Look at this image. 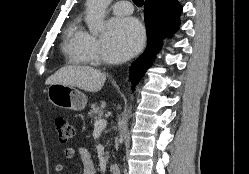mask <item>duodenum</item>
Here are the masks:
<instances>
[{
  "label": "duodenum",
  "instance_id": "410a0bca",
  "mask_svg": "<svg viewBox=\"0 0 249 174\" xmlns=\"http://www.w3.org/2000/svg\"><path fill=\"white\" fill-rule=\"evenodd\" d=\"M110 174H120V167L118 164H111L109 166Z\"/></svg>",
  "mask_w": 249,
  "mask_h": 174
}]
</instances>
